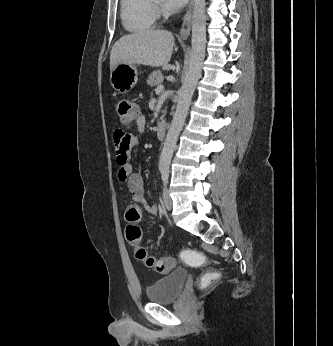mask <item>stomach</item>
Listing matches in <instances>:
<instances>
[{
  "label": "stomach",
  "mask_w": 333,
  "mask_h": 346,
  "mask_svg": "<svg viewBox=\"0 0 333 346\" xmlns=\"http://www.w3.org/2000/svg\"><path fill=\"white\" fill-rule=\"evenodd\" d=\"M138 73L135 65L121 63L110 73V83L119 93L129 92L137 83Z\"/></svg>",
  "instance_id": "1"
}]
</instances>
